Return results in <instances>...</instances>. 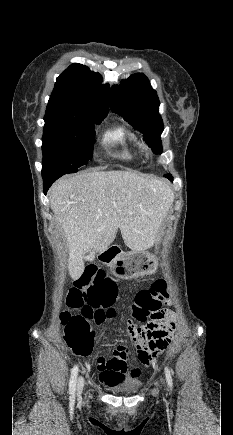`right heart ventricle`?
Returning a JSON list of instances; mask_svg holds the SVG:
<instances>
[{
  "mask_svg": "<svg viewBox=\"0 0 233 435\" xmlns=\"http://www.w3.org/2000/svg\"><path fill=\"white\" fill-rule=\"evenodd\" d=\"M105 140L112 144L122 145L124 148L118 153V156L125 160H130L133 158V153L127 148V146H138L137 138L134 132L124 126L115 127L106 132Z\"/></svg>",
  "mask_w": 233,
  "mask_h": 435,
  "instance_id": "obj_1",
  "label": "right heart ventricle"
}]
</instances>
